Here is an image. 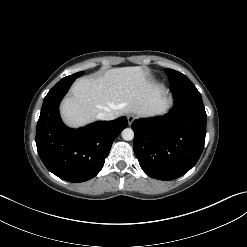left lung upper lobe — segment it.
<instances>
[{"mask_svg": "<svg viewBox=\"0 0 247 247\" xmlns=\"http://www.w3.org/2000/svg\"><path fill=\"white\" fill-rule=\"evenodd\" d=\"M165 72L169 77L171 86H194L184 74L178 71L166 68Z\"/></svg>", "mask_w": 247, "mask_h": 247, "instance_id": "obj_1", "label": "left lung upper lobe"}]
</instances>
